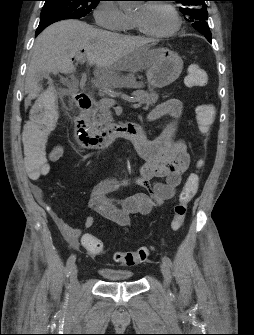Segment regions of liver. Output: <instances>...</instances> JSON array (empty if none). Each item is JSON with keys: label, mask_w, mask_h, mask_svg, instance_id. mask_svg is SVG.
Listing matches in <instances>:
<instances>
[{"label": "liver", "mask_w": 254, "mask_h": 335, "mask_svg": "<svg viewBox=\"0 0 254 335\" xmlns=\"http://www.w3.org/2000/svg\"><path fill=\"white\" fill-rule=\"evenodd\" d=\"M149 43V39L97 29L78 20L50 25L35 41L25 81V107L41 90L40 74L73 73L72 58L82 50L88 65L95 66L98 83L114 87L120 82V71L136 73L152 64Z\"/></svg>", "instance_id": "1"}]
</instances>
